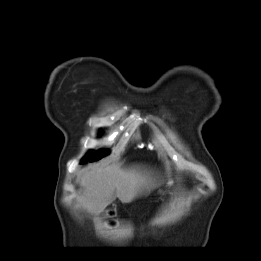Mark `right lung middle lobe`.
Here are the masks:
<instances>
[{
	"mask_svg": "<svg viewBox=\"0 0 261 261\" xmlns=\"http://www.w3.org/2000/svg\"><path fill=\"white\" fill-rule=\"evenodd\" d=\"M101 157L99 156L98 152L92 151L89 152L86 157L83 159L82 163H86L88 161H96L99 160Z\"/></svg>",
	"mask_w": 261,
	"mask_h": 261,
	"instance_id": "obj_1",
	"label": "right lung middle lobe"
}]
</instances>
